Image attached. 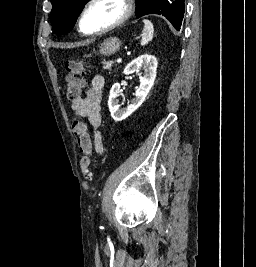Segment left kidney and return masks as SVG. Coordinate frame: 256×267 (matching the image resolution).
Returning <instances> with one entry per match:
<instances>
[{"label": "left kidney", "instance_id": "left-kidney-1", "mask_svg": "<svg viewBox=\"0 0 256 267\" xmlns=\"http://www.w3.org/2000/svg\"><path fill=\"white\" fill-rule=\"evenodd\" d=\"M141 68H144L145 72L143 76L138 74L140 86L136 92H134L133 100H131V104H128L127 108H123L120 110L119 100H117L118 96L121 94V86L120 84H113L110 90V96L108 100V108L111 112V116L115 122H121V120H125L128 118L130 114H133L141 104H143L145 98H147L152 86H154L158 62L155 56H151V54H143V56H139L136 60H132L130 64H127L126 68H124V74H134V72H140Z\"/></svg>", "mask_w": 256, "mask_h": 267}]
</instances>
